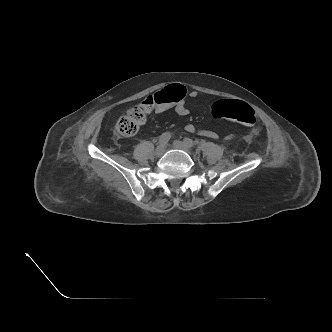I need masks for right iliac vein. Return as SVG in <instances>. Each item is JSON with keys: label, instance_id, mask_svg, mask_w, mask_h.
<instances>
[{"label": "right iliac vein", "instance_id": "63e3f726", "mask_svg": "<svg viewBox=\"0 0 332 332\" xmlns=\"http://www.w3.org/2000/svg\"><path fill=\"white\" fill-rule=\"evenodd\" d=\"M165 150H166V145L165 144H160L155 149V155L160 157L165 153Z\"/></svg>", "mask_w": 332, "mask_h": 332}]
</instances>
